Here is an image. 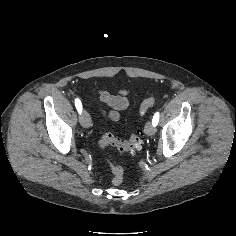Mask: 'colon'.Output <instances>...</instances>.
<instances>
[{
    "mask_svg": "<svg viewBox=\"0 0 236 236\" xmlns=\"http://www.w3.org/2000/svg\"><path fill=\"white\" fill-rule=\"evenodd\" d=\"M156 102L155 97H149L145 99L138 111L140 114L145 113ZM98 147L104 149L107 147H113L121 153H134L142 148L141 131L135 130L132 132L128 139H121L112 134H105L98 141ZM109 167L112 173V184L118 186L123 181L124 170L121 166L109 162Z\"/></svg>",
    "mask_w": 236,
    "mask_h": 236,
    "instance_id": "5ec220e1",
    "label": "colon"
}]
</instances>
